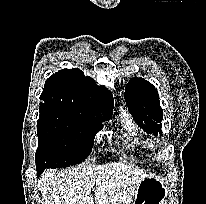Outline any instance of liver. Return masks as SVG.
<instances>
[{
    "label": "liver",
    "instance_id": "liver-1",
    "mask_svg": "<svg viewBox=\"0 0 206 204\" xmlns=\"http://www.w3.org/2000/svg\"><path fill=\"white\" fill-rule=\"evenodd\" d=\"M148 176L124 163L89 164L45 172L38 189L45 198L44 204H131L140 182Z\"/></svg>",
    "mask_w": 206,
    "mask_h": 204
}]
</instances>
